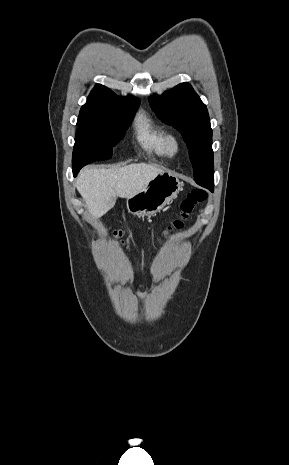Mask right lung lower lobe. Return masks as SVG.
I'll use <instances>...</instances> for the list:
<instances>
[{
    "label": "right lung lower lobe",
    "instance_id": "98d812e1",
    "mask_svg": "<svg viewBox=\"0 0 289 465\" xmlns=\"http://www.w3.org/2000/svg\"><path fill=\"white\" fill-rule=\"evenodd\" d=\"M82 165H73V174L76 176L79 172V170L82 168Z\"/></svg>",
    "mask_w": 289,
    "mask_h": 465
}]
</instances>
